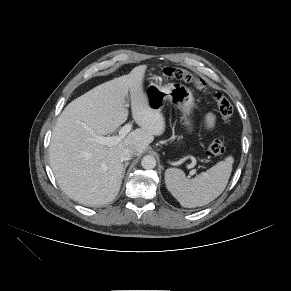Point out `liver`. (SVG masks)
<instances>
[{"mask_svg": "<svg viewBox=\"0 0 291 291\" xmlns=\"http://www.w3.org/2000/svg\"><path fill=\"white\" fill-rule=\"evenodd\" d=\"M146 65L100 84L70 102L59 116L50 143V165L63 192L83 205L106 204L118 195L123 173L121 153L130 148L142 154L154 136L165 130L160 111L150 108L143 92ZM140 126L118 143L107 146L96 136L114 133L128 117Z\"/></svg>", "mask_w": 291, "mask_h": 291, "instance_id": "liver-1", "label": "liver"}]
</instances>
